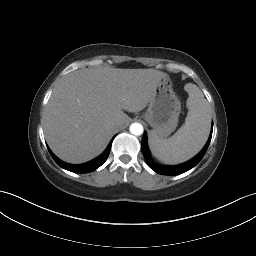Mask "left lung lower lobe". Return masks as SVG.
I'll return each mask as SVG.
<instances>
[{
	"label": "left lung lower lobe",
	"instance_id": "obj_1",
	"mask_svg": "<svg viewBox=\"0 0 256 256\" xmlns=\"http://www.w3.org/2000/svg\"><path fill=\"white\" fill-rule=\"evenodd\" d=\"M211 137H212V131H211V134L209 136V139H208L206 145L204 146V148L200 151V153L198 155H196L193 159L189 160L188 162L180 164V165H176V166L158 165L152 161L151 154H150V151L147 146L146 133L144 134L142 143H141L142 153H143V156H144L148 166L152 170H154L156 173H159L161 175H169V176L178 175V174H181V173H184V172L190 170L191 168H193L200 162V160L203 158V156L205 155V153L208 149V146L211 141Z\"/></svg>",
	"mask_w": 256,
	"mask_h": 256
}]
</instances>
